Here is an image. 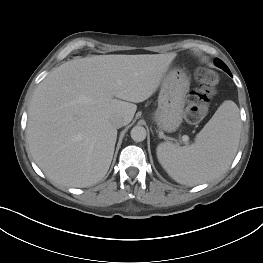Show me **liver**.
<instances>
[{"mask_svg": "<svg viewBox=\"0 0 263 263\" xmlns=\"http://www.w3.org/2000/svg\"><path fill=\"white\" fill-rule=\"evenodd\" d=\"M176 53L96 55L68 61L36 88L28 110L27 141L54 183L87 187L110 167L120 116L129 124L135 103L151 97Z\"/></svg>", "mask_w": 263, "mask_h": 263, "instance_id": "liver-1", "label": "liver"}]
</instances>
